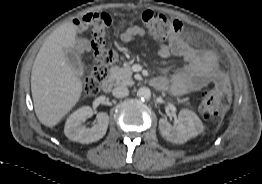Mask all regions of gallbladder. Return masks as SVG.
<instances>
[{
  "mask_svg": "<svg viewBox=\"0 0 262 184\" xmlns=\"http://www.w3.org/2000/svg\"><path fill=\"white\" fill-rule=\"evenodd\" d=\"M66 60L75 75L77 76L83 75L84 66L81 62L80 57L78 56V54L75 51L67 50L66 51Z\"/></svg>",
  "mask_w": 262,
  "mask_h": 184,
  "instance_id": "1",
  "label": "gallbladder"
}]
</instances>
